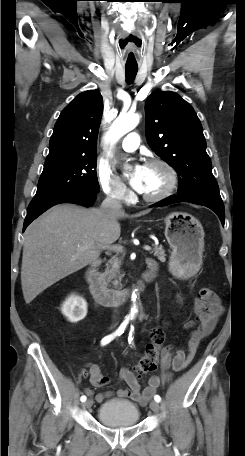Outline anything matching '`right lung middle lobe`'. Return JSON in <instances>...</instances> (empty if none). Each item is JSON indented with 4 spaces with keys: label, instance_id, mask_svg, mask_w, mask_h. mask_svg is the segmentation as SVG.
<instances>
[{
    "label": "right lung middle lobe",
    "instance_id": "1",
    "mask_svg": "<svg viewBox=\"0 0 245 456\" xmlns=\"http://www.w3.org/2000/svg\"><path fill=\"white\" fill-rule=\"evenodd\" d=\"M96 155L62 159L44 165L33 200L64 193L99 191Z\"/></svg>",
    "mask_w": 245,
    "mask_h": 456
}]
</instances>
